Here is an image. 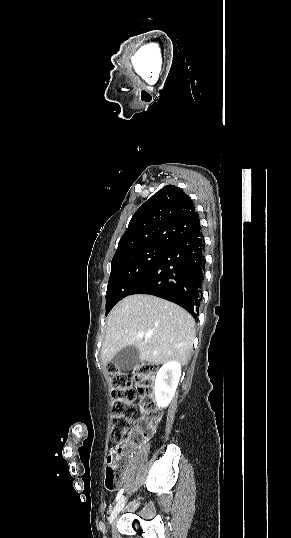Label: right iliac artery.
<instances>
[{
    "label": "right iliac artery",
    "mask_w": 291,
    "mask_h": 538,
    "mask_svg": "<svg viewBox=\"0 0 291 538\" xmlns=\"http://www.w3.org/2000/svg\"><path fill=\"white\" fill-rule=\"evenodd\" d=\"M123 491H124V489H121V490L118 492L117 497H116V500H118V499L121 498V496H122V494H123Z\"/></svg>",
    "instance_id": "82829eb1"
}]
</instances>
